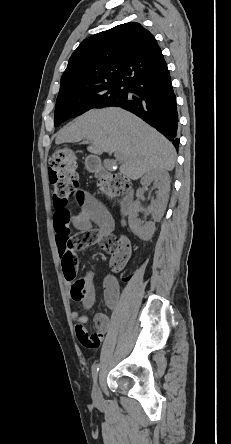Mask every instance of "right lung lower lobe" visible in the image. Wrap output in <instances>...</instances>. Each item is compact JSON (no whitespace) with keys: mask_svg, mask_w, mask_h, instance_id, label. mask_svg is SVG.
<instances>
[{"mask_svg":"<svg viewBox=\"0 0 231 444\" xmlns=\"http://www.w3.org/2000/svg\"><path fill=\"white\" fill-rule=\"evenodd\" d=\"M129 92L137 97L128 95L112 106L133 112L164 134L178 149V112L168 69L133 82Z\"/></svg>","mask_w":231,"mask_h":444,"instance_id":"right-lung-lower-lobe-1","label":"right lung lower lobe"}]
</instances>
